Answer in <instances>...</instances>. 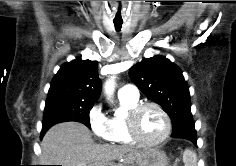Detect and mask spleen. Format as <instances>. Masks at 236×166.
<instances>
[{"mask_svg": "<svg viewBox=\"0 0 236 166\" xmlns=\"http://www.w3.org/2000/svg\"><path fill=\"white\" fill-rule=\"evenodd\" d=\"M183 162L185 166H197V155L191 149H186L183 153Z\"/></svg>", "mask_w": 236, "mask_h": 166, "instance_id": "spleen-1", "label": "spleen"}]
</instances>
